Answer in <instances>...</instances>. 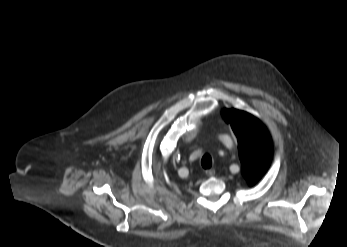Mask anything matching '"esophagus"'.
<instances>
[{
  "label": "esophagus",
  "instance_id": "esophagus-1",
  "mask_svg": "<svg viewBox=\"0 0 347 247\" xmlns=\"http://www.w3.org/2000/svg\"><path fill=\"white\" fill-rule=\"evenodd\" d=\"M207 176H213L215 175V170L214 169H208L205 171Z\"/></svg>",
  "mask_w": 347,
  "mask_h": 247
}]
</instances>
